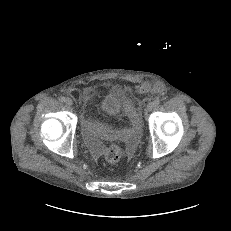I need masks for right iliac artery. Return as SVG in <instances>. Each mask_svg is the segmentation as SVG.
Here are the masks:
<instances>
[{
    "label": "right iliac artery",
    "instance_id": "obj_1",
    "mask_svg": "<svg viewBox=\"0 0 231 231\" xmlns=\"http://www.w3.org/2000/svg\"><path fill=\"white\" fill-rule=\"evenodd\" d=\"M60 101L65 102V101H66V98H65L64 96H61V97H60Z\"/></svg>",
    "mask_w": 231,
    "mask_h": 231
}]
</instances>
